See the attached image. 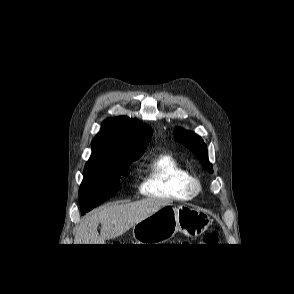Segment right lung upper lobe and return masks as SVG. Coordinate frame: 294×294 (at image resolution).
<instances>
[{"label":"right lung upper lobe","instance_id":"right-lung-upper-lobe-1","mask_svg":"<svg viewBox=\"0 0 294 294\" xmlns=\"http://www.w3.org/2000/svg\"><path fill=\"white\" fill-rule=\"evenodd\" d=\"M152 136V130L135 119L108 118L92 140V156L126 155L140 157Z\"/></svg>","mask_w":294,"mask_h":294}]
</instances>
